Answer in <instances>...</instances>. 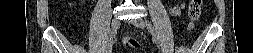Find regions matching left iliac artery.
<instances>
[{
	"label": "left iliac artery",
	"instance_id": "1",
	"mask_svg": "<svg viewBox=\"0 0 253 53\" xmlns=\"http://www.w3.org/2000/svg\"><path fill=\"white\" fill-rule=\"evenodd\" d=\"M147 22V27L150 30V36L152 37L151 42L155 43V45H158V48H161L160 42H158L159 36L156 32H154V28L152 27V24L149 21Z\"/></svg>",
	"mask_w": 253,
	"mask_h": 53
}]
</instances>
